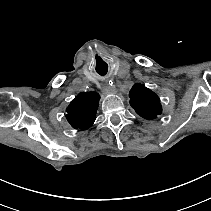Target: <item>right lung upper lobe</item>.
<instances>
[{
	"label": "right lung upper lobe",
	"mask_w": 211,
	"mask_h": 211,
	"mask_svg": "<svg viewBox=\"0 0 211 211\" xmlns=\"http://www.w3.org/2000/svg\"><path fill=\"white\" fill-rule=\"evenodd\" d=\"M100 96L96 92L79 93L67 107L66 118L75 129L86 130L96 119Z\"/></svg>",
	"instance_id": "1"
}]
</instances>
